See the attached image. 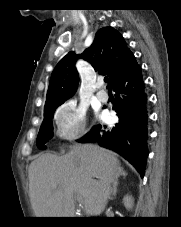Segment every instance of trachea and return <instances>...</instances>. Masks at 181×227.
<instances>
[{
    "instance_id": "1",
    "label": "trachea",
    "mask_w": 181,
    "mask_h": 227,
    "mask_svg": "<svg viewBox=\"0 0 181 227\" xmlns=\"http://www.w3.org/2000/svg\"><path fill=\"white\" fill-rule=\"evenodd\" d=\"M104 82L107 83L108 82V77L104 78Z\"/></svg>"
}]
</instances>
